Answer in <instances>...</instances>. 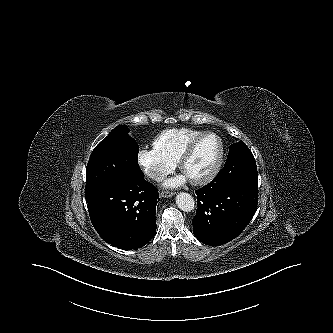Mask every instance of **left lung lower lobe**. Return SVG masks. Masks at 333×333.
Masks as SVG:
<instances>
[{
	"label": "left lung lower lobe",
	"mask_w": 333,
	"mask_h": 333,
	"mask_svg": "<svg viewBox=\"0 0 333 333\" xmlns=\"http://www.w3.org/2000/svg\"><path fill=\"white\" fill-rule=\"evenodd\" d=\"M227 168L195 191L197 212L193 233L204 244L223 245L236 238L253 218L258 204V187L236 180Z\"/></svg>",
	"instance_id": "0a47b994"
}]
</instances>
